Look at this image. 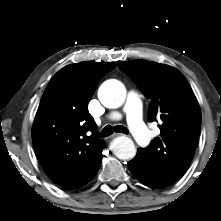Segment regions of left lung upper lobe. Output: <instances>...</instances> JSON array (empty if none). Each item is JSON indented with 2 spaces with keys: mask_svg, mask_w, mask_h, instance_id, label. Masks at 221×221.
<instances>
[{
  "mask_svg": "<svg viewBox=\"0 0 221 221\" xmlns=\"http://www.w3.org/2000/svg\"><path fill=\"white\" fill-rule=\"evenodd\" d=\"M118 67L131 77L151 100L149 121L161 120L160 137L141 149L159 187L176 182L193 158L201 127V111L186 78L175 68L135 59Z\"/></svg>",
  "mask_w": 221,
  "mask_h": 221,
  "instance_id": "1",
  "label": "left lung upper lobe"
}]
</instances>
